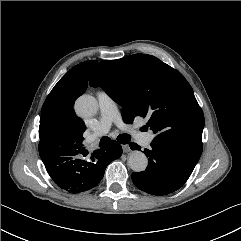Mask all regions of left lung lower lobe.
Wrapping results in <instances>:
<instances>
[{
    "instance_id": "0a47b994",
    "label": "left lung lower lobe",
    "mask_w": 241,
    "mask_h": 241,
    "mask_svg": "<svg viewBox=\"0 0 241 241\" xmlns=\"http://www.w3.org/2000/svg\"><path fill=\"white\" fill-rule=\"evenodd\" d=\"M145 149L149 157L148 167L143 172H133L132 180L137 188L153 195H166L178 190L188 180L201 155L162 142H151ZM133 150H141L130 143Z\"/></svg>"
}]
</instances>
